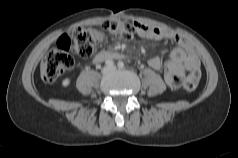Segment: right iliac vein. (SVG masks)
Wrapping results in <instances>:
<instances>
[{"mask_svg":"<svg viewBox=\"0 0 238 158\" xmlns=\"http://www.w3.org/2000/svg\"><path fill=\"white\" fill-rule=\"evenodd\" d=\"M108 69L106 68V69H104V72H106Z\"/></svg>","mask_w":238,"mask_h":158,"instance_id":"63e3f726","label":"right iliac vein"}]
</instances>
